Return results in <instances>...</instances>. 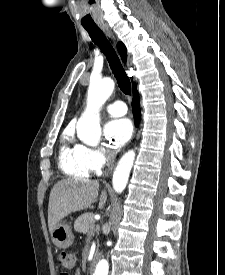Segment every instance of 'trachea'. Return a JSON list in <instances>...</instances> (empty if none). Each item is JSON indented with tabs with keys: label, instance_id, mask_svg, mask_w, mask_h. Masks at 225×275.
I'll return each instance as SVG.
<instances>
[{
	"label": "trachea",
	"instance_id": "obj_1",
	"mask_svg": "<svg viewBox=\"0 0 225 275\" xmlns=\"http://www.w3.org/2000/svg\"><path fill=\"white\" fill-rule=\"evenodd\" d=\"M85 30L89 33L92 41L99 46L106 56L121 91L126 95H130L131 83L129 77L127 76L115 50L105 37L102 30L97 26L85 27Z\"/></svg>",
	"mask_w": 225,
	"mask_h": 275
}]
</instances>
